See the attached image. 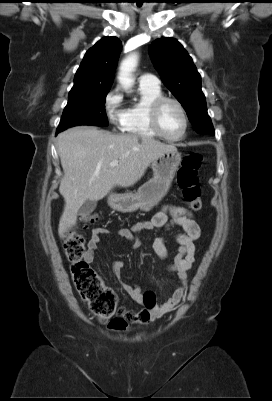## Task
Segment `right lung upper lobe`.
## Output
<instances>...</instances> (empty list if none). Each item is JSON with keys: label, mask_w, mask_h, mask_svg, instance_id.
<instances>
[{"label": "right lung upper lobe", "mask_w": 272, "mask_h": 401, "mask_svg": "<svg viewBox=\"0 0 272 401\" xmlns=\"http://www.w3.org/2000/svg\"><path fill=\"white\" fill-rule=\"evenodd\" d=\"M117 37H104L90 48L81 62L69 96L88 90L110 88L121 51Z\"/></svg>", "instance_id": "1"}]
</instances>
